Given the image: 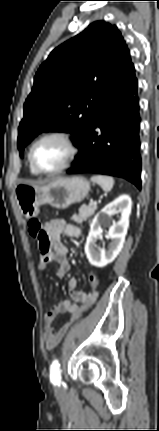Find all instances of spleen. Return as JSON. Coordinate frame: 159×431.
Returning a JSON list of instances; mask_svg holds the SVG:
<instances>
[{
    "label": "spleen",
    "instance_id": "spleen-1",
    "mask_svg": "<svg viewBox=\"0 0 159 431\" xmlns=\"http://www.w3.org/2000/svg\"><path fill=\"white\" fill-rule=\"evenodd\" d=\"M91 181L97 183L105 192L111 191L114 186V179L110 176L94 175Z\"/></svg>",
    "mask_w": 159,
    "mask_h": 431
}]
</instances>
